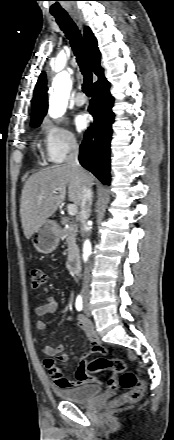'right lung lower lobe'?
<instances>
[{"label":"right lung lower lobe","instance_id":"obj_1","mask_svg":"<svg viewBox=\"0 0 174 440\" xmlns=\"http://www.w3.org/2000/svg\"><path fill=\"white\" fill-rule=\"evenodd\" d=\"M110 83L103 77L94 85V96L88 108L94 122L85 133L80 146V164L91 171L104 184L110 182V140L114 113V98L109 92Z\"/></svg>","mask_w":174,"mask_h":440}]
</instances>
